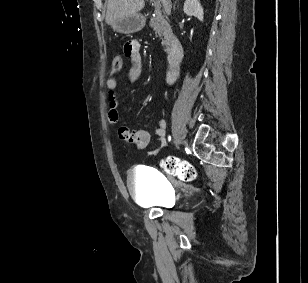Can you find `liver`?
Instances as JSON below:
<instances>
[{
    "label": "liver",
    "mask_w": 308,
    "mask_h": 283,
    "mask_svg": "<svg viewBox=\"0 0 308 283\" xmlns=\"http://www.w3.org/2000/svg\"><path fill=\"white\" fill-rule=\"evenodd\" d=\"M167 13L170 12L171 0H160ZM145 0H108L105 21L113 25L119 18L138 13L143 9Z\"/></svg>",
    "instance_id": "liver-1"
}]
</instances>
